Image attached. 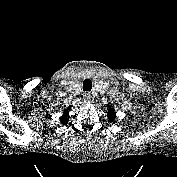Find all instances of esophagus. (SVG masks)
<instances>
[{
	"mask_svg": "<svg viewBox=\"0 0 177 177\" xmlns=\"http://www.w3.org/2000/svg\"><path fill=\"white\" fill-rule=\"evenodd\" d=\"M84 101H86V102H91L92 101V96H91V94L90 93H85L84 94Z\"/></svg>",
	"mask_w": 177,
	"mask_h": 177,
	"instance_id": "1",
	"label": "esophagus"
}]
</instances>
